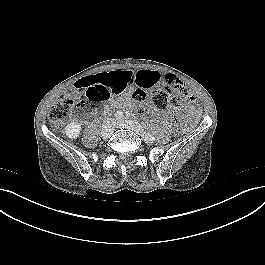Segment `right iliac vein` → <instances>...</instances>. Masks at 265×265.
Listing matches in <instances>:
<instances>
[{
  "label": "right iliac vein",
  "instance_id": "1",
  "mask_svg": "<svg viewBox=\"0 0 265 265\" xmlns=\"http://www.w3.org/2000/svg\"><path fill=\"white\" fill-rule=\"evenodd\" d=\"M114 131V122H106L101 130V137L103 139H108Z\"/></svg>",
  "mask_w": 265,
  "mask_h": 265
}]
</instances>
